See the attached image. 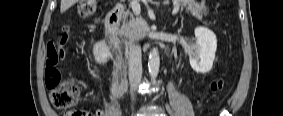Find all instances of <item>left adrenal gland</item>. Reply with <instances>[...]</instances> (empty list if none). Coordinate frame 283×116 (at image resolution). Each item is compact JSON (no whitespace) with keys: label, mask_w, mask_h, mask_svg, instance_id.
<instances>
[{"label":"left adrenal gland","mask_w":283,"mask_h":116,"mask_svg":"<svg viewBox=\"0 0 283 116\" xmlns=\"http://www.w3.org/2000/svg\"><path fill=\"white\" fill-rule=\"evenodd\" d=\"M178 22V18H176L175 22L173 23V26H175Z\"/></svg>","instance_id":"1"}]
</instances>
